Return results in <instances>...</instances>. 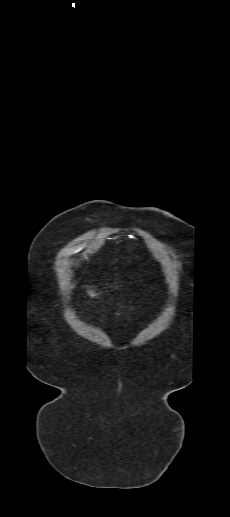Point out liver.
Instances as JSON below:
<instances>
[{"mask_svg": "<svg viewBox=\"0 0 230 517\" xmlns=\"http://www.w3.org/2000/svg\"><path fill=\"white\" fill-rule=\"evenodd\" d=\"M88 295L91 297V298H96L98 296L97 293H95L94 291L90 290L88 291Z\"/></svg>", "mask_w": 230, "mask_h": 517, "instance_id": "1", "label": "liver"}]
</instances>
